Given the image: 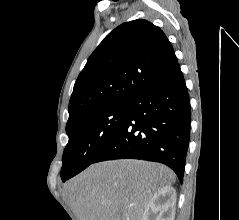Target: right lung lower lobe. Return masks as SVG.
Segmentation results:
<instances>
[{
	"mask_svg": "<svg viewBox=\"0 0 239 220\" xmlns=\"http://www.w3.org/2000/svg\"><path fill=\"white\" fill-rule=\"evenodd\" d=\"M190 136V102L179 64L136 94L120 128L93 163L143 159L170 167L183 181Z\"/></svg>",
	"mask_w": 239,
	"mask_h": 220,
	"instance_id": "1",
	"label": "right lung lower lobe"
}]
</instances>
